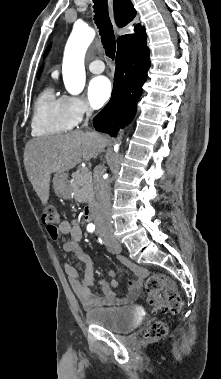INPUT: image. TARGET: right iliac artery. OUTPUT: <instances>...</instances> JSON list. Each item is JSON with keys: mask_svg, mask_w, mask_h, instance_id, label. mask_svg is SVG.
Segmentation results:
<instances>
[{"mask_svg": "<svg viewBox=\"0 0 221 379\" xmlns=\"http://www.w3.org/2000/svg\"><path fill=\"white\" fill-rule=\"evenodd\" d=\"M95 230V225L94 224H88L87 225V231L92 233Z\"/></svg>", "mask_w": 221, "mask_h": 379, "instance_id": "obj_1", "label": "right iliac artery"}]
</instances>
